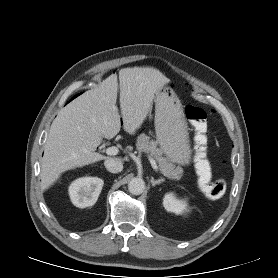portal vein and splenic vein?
<instances>
[{
  "label": "portal vein and splenic vein",
  "mask_w": 278,
  "mask_h": 278,
  "mask_svg": "<svg viewBox=\"0 0 278 278\" xmlns=\"http://www.w3.org/2000/svg\"><path fill=\"white\" fill-rule=\"evenodd\" d=\"M118 152H119V150H118V148L115 147V146H112V147H109V148L106 149V153H107L108 155H117ZM149 161H150V163H151L152 168H153L156 172H158V171H159V168H158V166H157L155 160H154L152 157L149 156Z\"/></svg>",
  "instance_id": "1"
}]
</instances>
